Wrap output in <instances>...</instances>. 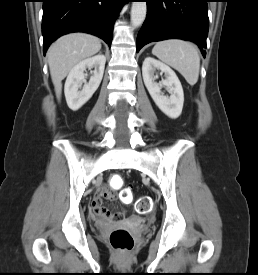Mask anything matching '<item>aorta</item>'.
<instances>
[{
    "mask_svg": "<svg viewBox=\"0 0 258 275\" xmlns=\"http://www.w3.org/2000/svg\"><path fill=\"white\" fill-rule=\"evenodd\" d=\"M147 13L146 2H133L131 8V23L133 26H140L145 18Z\"/></svg>",
    "mask_w": 258,
    "mask_h": 275,
    "instance_id": "1",
    "label": "aorta"
}]
</instances>
